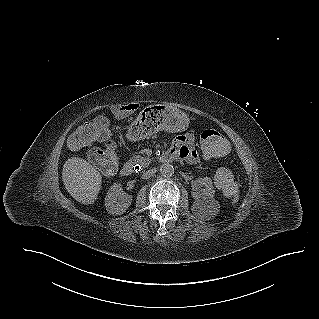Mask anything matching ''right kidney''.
I'll return each instance as SVG.
<instances>
[{"mask_svg": "<svg viewBox=\"0 0 319 319\" xmlns=\"http://www.w3.org/2000/svg\"><path fill=\"white\" fill-rule=\"evenodd\" d=\"M106 210L113 215L123 214L132 202V196L123 192L121 184L115 183L105 198Z\"/></svg>", "mask_w": 319, "mask_h": 319, "instance_id": "obj_1", "label": "right kidney"}]
</instances>
